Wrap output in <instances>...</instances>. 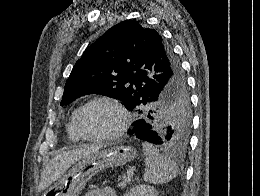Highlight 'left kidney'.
I'll list each match as a JSON object with an SVG mask.
<instances>
[{"mask_svg":"<svg viewBox=\"0 0 260 196\" xmlns=\"http://www.w3.org/2000/svg\"><path fill=\"white\" fill-rule=\"evenodd\" d=\"M125 196H158V194L153 186H145V184H141V186L130 188V190L126 192Z\"/></svg>","mask_w":260,"mask_h":196,"instance_id":"left-kidney-1","label":"left kidney"}]
</instances>
